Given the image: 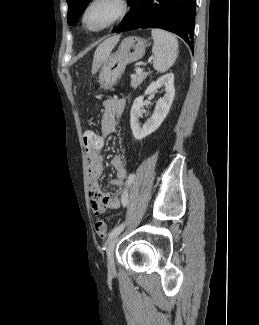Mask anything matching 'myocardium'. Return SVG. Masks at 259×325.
Wrapping results in <instances>:
<instances>
[{
	"mask_svg": "<svg viewBox=\"0 0 259 325\" xmlns=\"http://www.w3.org/2000/svg\"><path fill=\"white\" fill-rule=\"evenodd\" d=\"M101 1H103V0H89L82 9L81 16H80V22H81L82 27L88 32L97 33V32L104 31V30L114 26L118 22H120L128 13L129 7H128L127 0H112L118 6V12H117L116 16L113 17L110 21H108L100 26L92 27L87 23V14H88L89 10L93 7V5H95L96 3L101 2Z\"/></svg>",
	"mask_w": 259,
	"mask_h": 325,
	"instance_id": "myocardium-1",
	"label": "myocardium"
}]
</instances>
